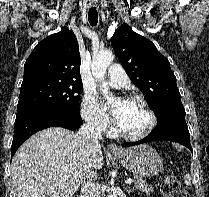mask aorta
Instances as JSON below:
<instances>
[{
  "label": "aorta",
  "instance_id": "aorta-1",
  "mask_svg": "<svg viewBox=\"0 0 209 197\" xmlns=\"http://www.w3.org/2000/svg\"><path fill=\"white\" fill-rule=\"evenodd\" d=\"M113 59L114 55L110 50L100 51L97 55H95L91 63V70L93 76L98 80L103 79L106 74V70L113 61ZM101 91L107 98H109L108 89H101ZM108 197H116V195L110 194L108 195Z\"/></svg>",
  "mask_w": 209,
  "mask_h": 197
}]
</instances>
